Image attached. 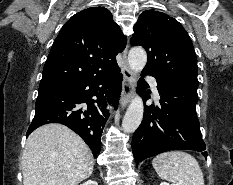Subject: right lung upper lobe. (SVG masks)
<instances>
[{"label":"right lung upper lobe","mask_w":233,"mask_h":185,"mask_svg":"<svg viewBox=\"0 0 233 185\" xmlns=\"http://www.w3.org/2000/svg\"><path fill=\"white\" fill-rule=\"evenodd\" d=\"M126 37L104 7L88 8L64 24L44 65L40 86L93 77L118 67Z\"/></svg>","instance_id":"cb5924a9"}]
</instances>
